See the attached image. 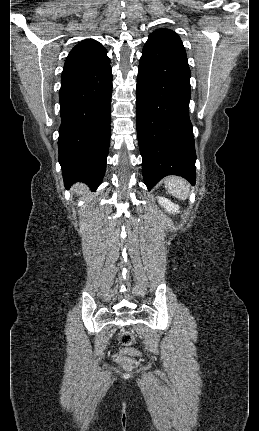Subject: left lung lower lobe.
<instances>
[{"label": "left lung lower lobe", "mask_w": 259, "mask_h": 431, "mask_svg": "<svg viewBox=\"0 0 259 431\" xmlns=\"http://www.w3.org/2000/svg\"><path fill=\"white\" fill-rule=\"evenodd\" d=\"M190 77L185 55L151 40L145 43L137 76L136 121L149 190L167 175L195 183Z\"/></svg>", "instance_id": "obj_1"}]
</instances>
